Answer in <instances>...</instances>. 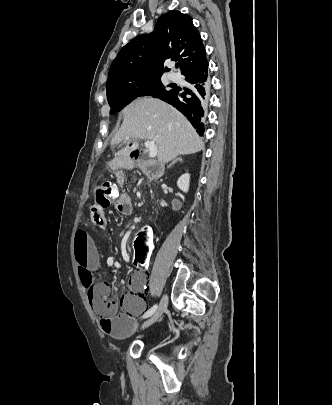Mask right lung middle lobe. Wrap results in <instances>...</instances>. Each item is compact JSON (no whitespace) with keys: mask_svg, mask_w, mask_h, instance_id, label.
<instances>
[{"mask_svg":"<svg viewBox=\"0 0 332 405\" xmlns=\"http://www.w3.org/2000/svg\"><path fill=\"white\" fill-rule=\"evenodd\" d=\"M160 76L130 78L107 89V99L110 105V114L122 110L135 98L144 95L160 97L167 93Z\"/></svg>","mask_w":332,"mask_h":405,"instance_id":"dd1d6c3e","label":"right lung middle lobe"}]
</instances>
